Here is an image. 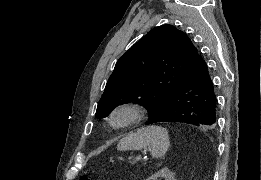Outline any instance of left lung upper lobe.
Instances as JSON below:
<instances>
[{
    "instance_id": "left-lung-upper-lobe-1",
    "label": "left lung upper lobe",
    "mask_w": 261,
    "mask_h": 180,
    "mask_svg": "<svg viewBox=\"0 0 261 180\" xmlns=\"http://www.w3.org/2000/svg\"><path fill=\"white\" fill-rule=\"evenodd\" d=\"M190 38L172 25L155 27L117 61L98 103L96 116L107 117L118 105L132 102L149 111L147 124L167 110L180 80L196 63Z\"/></svg>"
}]
</instances>
